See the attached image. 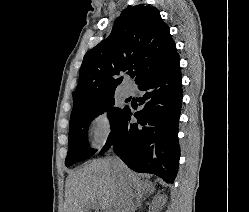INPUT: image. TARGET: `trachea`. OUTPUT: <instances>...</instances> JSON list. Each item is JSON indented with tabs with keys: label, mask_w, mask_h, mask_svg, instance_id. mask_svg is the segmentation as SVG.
<instances>
[{
	"label": "trachea",
	"mask_w": 249,
	"mask_h": 212,
	"mask_svg": "<svg viewBox=\"0 0 249 212\" xmlns=\"http://www.w3.org/2000/svg\"><path fill=\"white\" fill-rule=\"evenodd\" d=\"M130 77H132V78H133V77H134V74H130Z\"/></svg>",
	"instance_id": "obj_1"
}]
</instances>
